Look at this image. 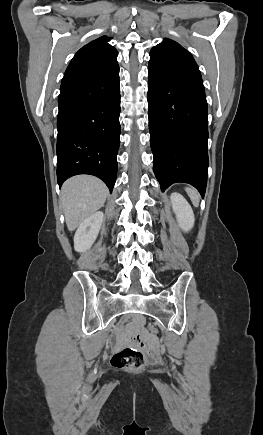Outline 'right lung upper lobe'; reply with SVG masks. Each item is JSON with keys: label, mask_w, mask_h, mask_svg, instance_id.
Here are the masks:
<instances>
[{"label": "right lung upper lobe", "mask_w": 263, "mask_h": 435, "mask_svg": "<svg viewBox=\"0 0 263 435\" xmlns=\"http://www.w3.org/2000/svg\"><path fill=\"white\" fill-rule=\"evenodd\" d=\"M109 40L102 36L82 47L71 60L61 84L95 76L118 65V52Z\"/></svg>", "instance_id": "1"}]
</instances>
